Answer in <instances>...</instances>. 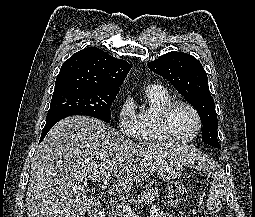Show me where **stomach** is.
I'll return each instance as SVG.
<instances>
[{
    "label": "stomach",
    "mask_w": 255,
    "mask_h": 217,
    "mask_svg": "<svg viewBox=\"0 0 255 217\" xmlns=\"http://www.w3.org/2000/svg\"><path fill=\"white\" fill-rule=\"evenodd\" d=\"M186 159L180 153H172L165 158L158 168V176L164 181H172L177 179L182 173V166L186 163Z\"/></svg>",
    "instance_id": "0dacf381"
}]
</instances>
